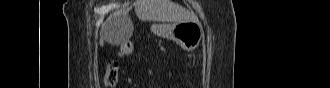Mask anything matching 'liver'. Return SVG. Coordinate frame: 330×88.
<instances>
[{"instance_id": "1", "label": "liver", "mask_w": 330, "mask_h": 88, "mask_svg": "<svg viewBox=\"0 0 330 88\" xmlns=\"http://www.w3.org/2000/svg\"><path fill=\"white\" fill-rule=\"evenodd\" d=\"M134 7L137 17L142 21L173 22L176 24L196 19L193 13L171 0H136ZM120 16L119 14L111 15L102 25L100 31V43L102 45L104 41L118 44L114 37V29L119 23ZM124 20L132 24L129 19Z\"/></svg>"}]
</instances>
